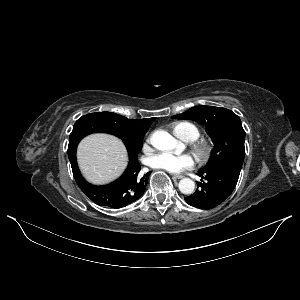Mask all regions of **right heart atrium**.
I'll return each mask as SVG.
<instances>
[{
	"instance_id": "obj_1",
	"label": "right heart atrium",
	"mask_w": 300,
	"mask_h": 300,
	"mask_svg": "<svg viewBox=\"0 0 300 300\" xmlns=\"http://www.w3.org/2000/svg\"><path fill=\"white\" fill-rule=\"evenodd\" d=\"M150 139H147L146 143H145V146L149 143Z\"/></svg>"
}]
</instances>
